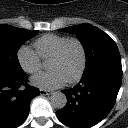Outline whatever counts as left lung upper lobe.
I'll use <instances>...</instances> for the list:
<instances>
[{"mask_svg": "<svg viewBox=\"0 0 128 128\" xmlns=\"http://www.w3.org/2000/svg\"><path fill=\"white\" fill-rule=\"evenodd\" d=\"M60 31L76 33L86 52L85 71L102 60L120 59L116 43L105 32L93 25H75Z\"/></svg>", "mask_w": 128, "mask_h": 128, "instance_id": "left-lung-upper-lobe-1", "label": "left lung upper lobe"}]
</instances>
